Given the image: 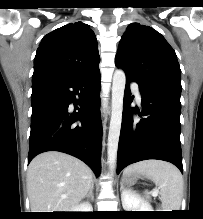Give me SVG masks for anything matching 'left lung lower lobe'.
I'll use <instances>...</instances> for the list:
<instances>
[{
  "instance_id": "1",
  "label": "left lung lower lobe",
  "mask_w": 203,
  "mask_h": 219,
  "mask_svg": "<svg viewBox=\"0 0 203 219\" xmlns=\"http://www.w3.org/2000/svg\"><path fill=\"white\" fill-rule=\"evenodd\" d=\"M138 83L141 93L142 112L134 107L128 111L133 96L129 83ZM122 125L118 145L117 173L126 166L147 159L168 161L183 173L180 145V92L143 84L126 76ZM132 113L146 116L134 120Z\"/></svg>"
}]
</instances>
